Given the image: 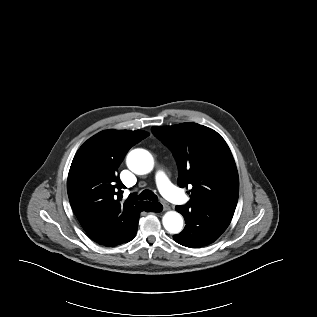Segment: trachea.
Wrapping results in <instances>:
<instances>
[{
  "mask_svg": "<svg viewBox=\"0 0 317 317\" xmlns=\"http://www.w3.org/2000/svg\"><path fill=\"white\" fill-rule=\"evenodd\" d=\"M139 200H147L149 199L150 201L156 202L158 200L157 196L154 194V192H152L151 190H143L139 196H138Z\"/></svg>",
  "mask_w": 317,
  "mask_h": 317,
  "instance_id": "1",
  "label": "trachea"
}]
</instances>
